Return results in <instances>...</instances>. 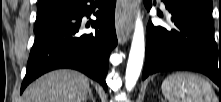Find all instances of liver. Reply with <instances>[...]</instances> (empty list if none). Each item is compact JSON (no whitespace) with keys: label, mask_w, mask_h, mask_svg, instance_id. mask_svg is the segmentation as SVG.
I'll list each match as a JSON object with an SVG mask.
<instances>
[{"label":"liver","mask_w":221,"mask_h":102,"mask_svg":"<svg viewBox=\"0 0 221 102\" xmlns=\"http://www.w3.org/2000/svg\"><path fill=\"white\" fill-rule=\"evenodd\" d=\"M90 90L88 78L73 70H56L32 83L23 102H84Z\"/></svg>","instance_id":"liver-1"}]
</instances>
